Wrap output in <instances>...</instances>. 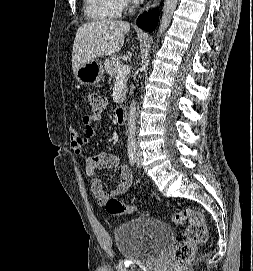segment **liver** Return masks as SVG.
Instances as JSON below:
<instances>
[{
	"label": "liver",
	"mask_w": 253,
	"mask_h": 271,
	"mask_svg": "<svg viewBox=\"0 0 253 271\" xmlns=\"http://www.w3.org/2000/svg\"><path fill=\"white\" fill-rule=\"evenodd\" d=\"M129 29L128 22L117 20L95 21L79 27L73 44V72L86 62L120 51Z\"/></svg>",
	"instance_id": "6515ba94"
}]
</instances>
